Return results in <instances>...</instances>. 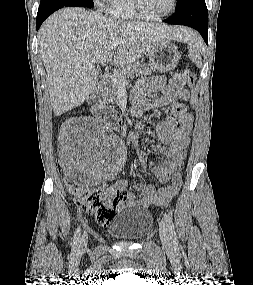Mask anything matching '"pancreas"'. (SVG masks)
I'll return each mask as SVG.
<instances>
[{
  "label": "pancreas",
  "mask_w": 253,
  "mask_h": 285,
  "mask_svg": "<svg viewBox=\"0 0 253 285\" xmlns=\"http://www.w3.org/2000/svg\"><path fill=\"white\" fill-rule=\"evenodd\" d=\"M152 70L150 67L143 66L139 63H133L126 65L119 71H117L113 76L120 79H133L136 76H145L151 74ZM119 84L115 83L112 78H107L102 83L101 96L103 99V104L107 105L108 108H112L114 96L117 95V90Z\"/></svg>",
  "instance_id": "1"
}]
</instances>
